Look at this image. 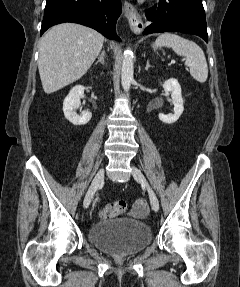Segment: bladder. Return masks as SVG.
Instances as JSON below:
<instances>
[{
  "mask_svg": "<svg viewBox=\"0 0 240 287\" xmlns=\"http://www.w3.org/2000/svg\"><path fill=\"white\" fill-rule=\"evenodd\" d=\"M88 240L98 249L116 256L141 252L152 241V230L144 222L121 218L92 225Z\"/></svg>",
  "mask_w": 240,
  "mask_h": 287,
  "instance_id": "31cf9c89",
  "label": "bladder"
}]
</instances>
